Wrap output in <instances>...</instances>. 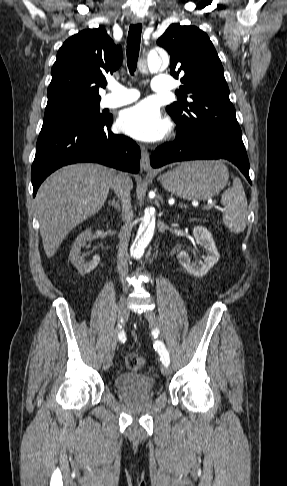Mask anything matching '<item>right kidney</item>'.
Listing matches in <instances>:
<instances>
[{
	"label": "right kidney",
	"instance_id": "ca27d5eb",
	"mask_svg": "<svg viewBox=\"0 0 287 486\" xmlns=\"http://www.w3.org/2000/svg\"><path fill=\"white\" fill-rule=\"evenodd\" d=\"M92 240L91 229L82 232L74 241L69 254V260L76 267L80 274H88L93 271L99 264L100 257L95 255L92 261L85 262L84 257L81 256V248L86 245V242Z\"/></svg>",
	"mask_w": 287,
	"mask_h": 486
}]
</instances>
